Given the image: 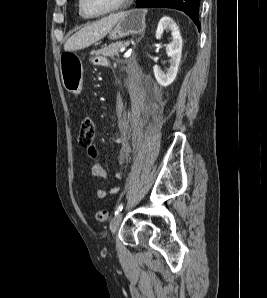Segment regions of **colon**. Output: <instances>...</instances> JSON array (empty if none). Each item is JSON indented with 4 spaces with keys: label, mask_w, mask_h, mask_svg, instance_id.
Segmentation results:
<instances>
[{
    "label": "colon",
    "mask_w": 267,
    "mask_h": 298,
    "mask_svg": "<svg viewBox=\"0 0 267 298\" xmlns=\"http://www.w3.org/2000/svg\"><path fill=\"white\" fill-rule=\"evenodd\" d=\"M96 136V124L95 121L90 117H85L80 122L78 128V143L86 150L90 157L95 158L97 156V148L94 144ZM96 220L99 222H105L109 218V213L105 209H99L96 212Z\"/></svg>",
    "instance_id": "5ec220e1"
}]
</instances>
